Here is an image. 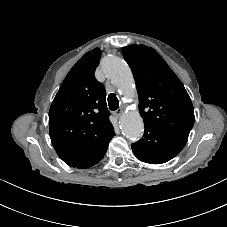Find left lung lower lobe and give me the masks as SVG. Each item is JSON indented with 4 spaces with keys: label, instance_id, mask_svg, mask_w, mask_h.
<instances>
[{
    "label": "left lung lower lobe",
    "instance_id": "0a47b994",
    "mask_svg": "<svg viewBox=\"0 0 227 227\" xmlns=\"http://www.w3.org/2000/svg\"><path fill=\"white\" fill-rule=\"evenodd\" d=\"M186 142L160 129L145 126L143 138L132 143V151L142 162L162 164L174 158Z\"/></svg>",
    "mask_w": 227,
    "mask_h": 227
}]
</instances>
